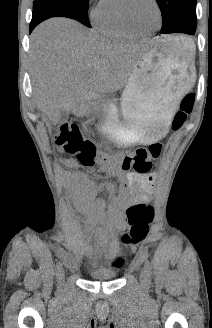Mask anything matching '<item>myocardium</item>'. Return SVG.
I'll list each match as a JSON object with an SVG mask.
<instances>
[{"label":"myocardium","instance_id":"myocardium-1","mask_svg":"<svg viewBox=\"0 0 212 328\" xmlns=\"http://www.w3.org/2000/svg\"><path fill=\"white\" fill-rule=\"evenodd\" d=\"M129 1L130 0H120V6H119V11H120L121 19H122L124 25L129 30H131L132 32H134L136 34H139V35H145V34L152 33V32L158 30L161 27L162 21H163V15H162V10H161V7H160V4H159L158 0H151V2L155 6L156 11L158 13V25L155 28L151 29V30H141V29L137 28L132 23V21H131V19L129 17L128 8H127V5H128V2Z\"/></svg>","mask_w":212,"mask_h":328}]
</instances>
